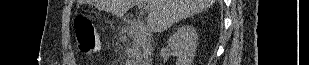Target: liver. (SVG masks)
<instances>
[{
    "instance_id": "obj_1",
    "label": "liver",
    "mask_w": 309,
    "mask_h": 65,
    "mask_svg": "<svg viewBox=\"0 0 309 65\" xmlns=\"http://www.w3.org/2000/svg\"><path fill=\"white\" fill-rule=\"evenodd\" d=\"M146 1L149 6L148 27L162 32L174 23L200 13L213 5L215 0H96L102 11L122 17L132 6Z\"/></svg>"
}]
</instances>
